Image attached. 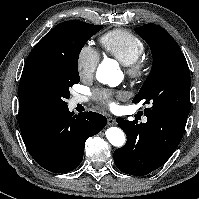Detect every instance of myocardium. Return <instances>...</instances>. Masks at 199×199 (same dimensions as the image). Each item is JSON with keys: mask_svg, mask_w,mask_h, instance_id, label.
<instances>
[{"mask_svg": "<svg viewBox=\"0 0 199 199\" xmlns=\"http://www.w3.org/2000/svg\"><path fill=\"white\" fill-rule=\"evenodd\" d=\"M125 70L132 80L141 81L148 74V65L142 58H138L134 62L125 65Z\"/></svg>", "mask_w": 199, "mask_h": 199, "instance_id": "myocardium-1", "label": "myocardium"}]
</instances>
